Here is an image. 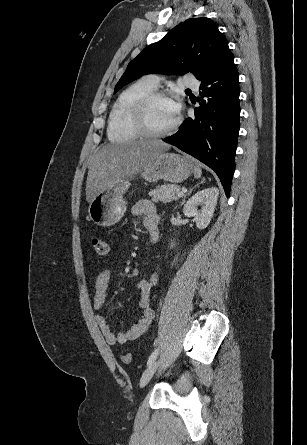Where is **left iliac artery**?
Segmentation results:
<instances>
[{"mask_svg":"<svg viewBox=\"0 0 307 445\" xmlns=\"http://www.w3.org/2000/svg\"><path fill=\"white\" fill-rule=\"evenodd\" d=\"M157 355H158V349H155L152 352V354L150 355V357L148 359V362H147V365H150L156 359Z\"/></svg>","mask_w":307,"mask_h":445,"instance_id":"obj_1","label":"left iliac artery"}]
</instances>
